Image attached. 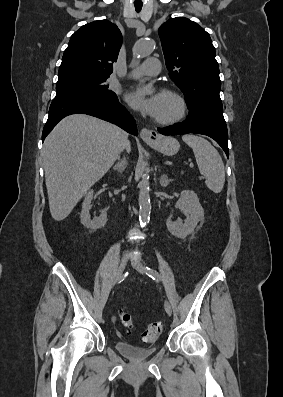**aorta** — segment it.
<instances>
[{
    "mask_svg": "<svg viewBox=\"0 0 283 397\" xmlns=\"http://www.w3.org/2000/svg\"><path fill=\"white\" fill-rule=\"evenodd\" d=\"M153 50V42L151 40H142L137 42L133 47V54L136 57H146ZM143 93L152 91L151 85H144L140 88ZM150 183L146 174L142 175L140 181V191L138 197L139 203V221L141 225H146L150 219L151 203H150Z\"/></svg>",
    "mask_w": 283,
    "mask_h": 397,
    "instance_id": "aorta-1",
    "label": "aorta"
}]
</instances>
